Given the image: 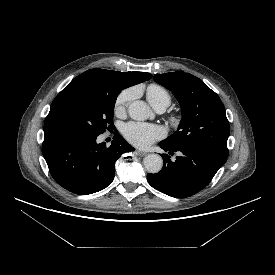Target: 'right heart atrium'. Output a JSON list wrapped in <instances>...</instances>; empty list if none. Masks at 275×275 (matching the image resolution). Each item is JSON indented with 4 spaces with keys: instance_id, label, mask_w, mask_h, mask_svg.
I'll list each match as a JSON object with an SVG mask.
<instances>
[{
    "instance_id": "1",
    "label": "right heart atrium",
    "mask_w": 275,
    "mask_h": 275,
    "mask_svg": "<svg viewBox=\"0 0 275 275\" xmlns=\"http://www.w3.org/2000/svg\"><path fill=\"white\" fill-rule=\"evenodd\" d=\"M133 97L132 89L122 90L116 97L114 102V112L116 115L120 116L125 113L128 104Z\"/></svg>"
}]
</instances>
